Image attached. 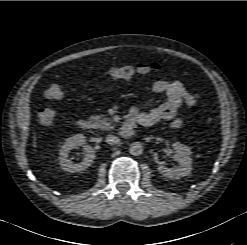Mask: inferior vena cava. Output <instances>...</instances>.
Instances as JSON below:
<instances>
[{
  "instance_id": "1",
  "label": "inferior vena cava",
  "mask_w": 247,
  "mask_h": 245,
  "mask_svg": "<svg viewBox=\"0 0 247 245\" xmlns=\"http://www.w3.org/2000/svg\"><path fill=\"white\" fill-rule=\"evenodd\" d=\"M119 141H120V139L117 136H114V135H108L106 137V142L108 144H111V145H116V144L119 143Z\"/></svg>"
}]
</instances>
